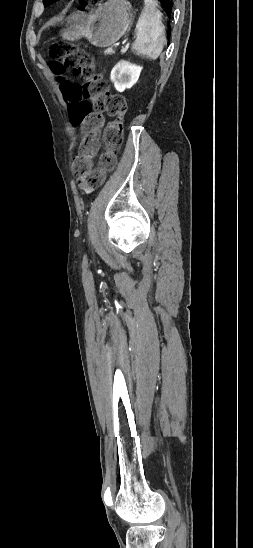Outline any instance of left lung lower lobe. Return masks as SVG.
Wrapping results in <instances>:
<instances>
[{
  "label": "left lung lower lobe",
  "instance_id": "1",
  "mask_svg": "<svg viewBox=\"0 0 253 548\" xmlns=\"http://www.w3.org/2000/svg\"><path fill=\"white\" fill-rule=\"evenodd\" d=\"M161 7L163 8L164 12L167 14L169 18H171L172 15V9H173V0H158Z\"/></svg>",
  "mask_w": 253,
  "mask_h": 548
}]
</instances>
